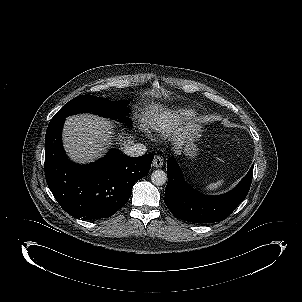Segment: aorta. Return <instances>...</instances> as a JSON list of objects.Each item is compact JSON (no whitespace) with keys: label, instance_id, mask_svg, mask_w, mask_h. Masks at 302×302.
<instances>
[{"label":"aorta","instance_id":"1","mask_svg":"<svg viewBox=\"0 0 302 302\" xmlns=\"http://www.w3.org/2000/svg\"><path fill=\"white\" fill-rule=\"evenodd\" d=\"M167 174L163 170H155L151 174V181L156 186H162L167 182Z\"/></svg>","mask_w":302,"mask_h":302}]
</instances>
